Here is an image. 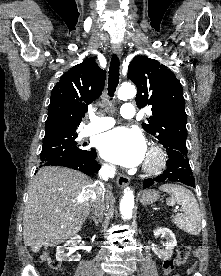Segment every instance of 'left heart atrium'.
<instances>
[{
    "instance_id": "left-heart-atrium-1",
    "label": "left heart atrium",
    "mask_w": 221,
    "mask_h": 276,
    "mask_svg": "<svg viewBox=\"0 0 221 276\" xmlns=\"http://www.w3.org/2000/svg\"><path fill=\"white\" fill-rule=\"evenodd\" d=\"M99 150L104 159L114 164L134 167L144 160L146 143L139 131L119 127L101 136Z\"/></svg>"
}]
</instances>
